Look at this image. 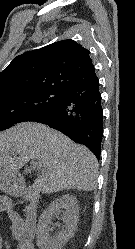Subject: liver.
I'll use <instances>...</instances> for the list:
<instances>
[{
	"instance_id": "6515ba94",
	"label": "liver",
	"mask_w": 135,
	"mask_h": 249,
	"mask_svg": "<svg viewBox=\"0 0 135 249\" xmlns=\"http://www.w3.org/2000/svg\"><path fill=\"white\" fill-rule=\"evenodd\" d=\"M30 159L37 160L33 187L50 194L66 189L92 191L98 161L85 146L40 123L24 122L0 133V168L18 172Z\"/></svg>"
}]
</instances>
